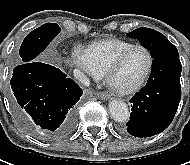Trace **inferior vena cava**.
<instances>
[{
    "label": "inferior vena cava",
    "instance_id": "inferior-vena-cava-1",
    "mask_svg": "<svg viewBox=\"0 0 190 165\" xmlns=\"http://www.w3.org/2000/svg\"><path fill=\"white\" fill-rule=\"evenodd\" d=\"M74 77L78 81H80L83 85L89 86V84H90L89 78L86 75H84V73H82L80 70H78V69L74 70Z\"/></svg>",
    "mask_w": 190,
    "mask_h": 165
}]
</instances>
